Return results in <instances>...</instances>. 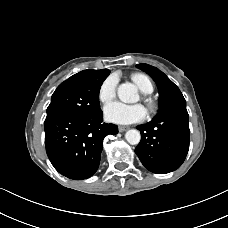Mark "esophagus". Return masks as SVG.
Wrapping results in <instances>:
<instances>
[{
    "mask_svg": "<svg viewBox=\"0 0 228 228\" xmlns=\"http://www.w3.org/2000/svg\"><path fill=\"white\" fill-rule=\"evenodd\" d=\"M128 129H129V128L126 127V126H119V127H118L119 132H124V131H126V130H128Z\"/></svg>",
    "mask_w": 228,
    "mask_h": 228,
    "instance_id": "esophagus-1",
    "label": "esophagus"
}]
</instances>
